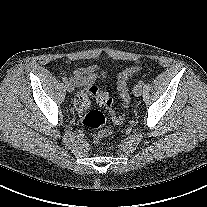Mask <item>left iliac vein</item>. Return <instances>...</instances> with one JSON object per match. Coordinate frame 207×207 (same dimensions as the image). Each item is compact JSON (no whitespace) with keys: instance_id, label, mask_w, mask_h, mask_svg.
Here are the masks:
<instances>
[{"instance_id":"left-iliac-vein-1","label":"left iliac vein","mask_w":207,"mask_h":207,"mask_svg":"<svg viewBox=\"0 0 207 207\" xmlns=\"http://www.w3.org/2000/svg\"><path fill=\"white\" fill-rule=\"evenodd\" d=\"M142 92V86H140L139 84H137L134 88H133V94L138 97L141 95Z\"/></svg>"}]
</instances>
